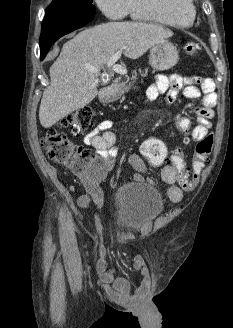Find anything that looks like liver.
<instances>
[{
	"label": "liver",
	"instance_id": "liver-1",
	"mask_svg": "<svg viewBox=\"0 0 233 328\" xmlns=\"http://www.w3.org/2000/svg\"><path fill=\"white\" fill-rule=\"evenodd\" d=\"M170 29L142 22H108L85 29L63 45L50 67V85L39 109L44 128L88 105L97 95L99 71L121 48L138 59L154 45L172 37ZM88 66L98 69L94 73Z\"/></svg>",
	"mask_w": 233,
	"mask_h": 328
}]
</instances>
